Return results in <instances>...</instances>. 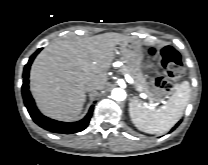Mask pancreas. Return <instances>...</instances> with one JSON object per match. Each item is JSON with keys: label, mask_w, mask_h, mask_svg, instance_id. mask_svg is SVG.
Instances as JSON below:
<instances>
[{"label": "pancreas", "mask_w": 208, "mask_h": 165, "mask_svg": "<svg viewBox=\"0 0 208 165\" xmlns=\"http://www.w3.org/2000/svg\"><path fill=\"white\" fill-rule=\"evenodd\" d=\"M123 69L134 78L136 87L139 91L146 93L150 99H155L152 93L149 91L146 80L141 73H137V70L126 62H124Z\"/></svg>", "instance_id": "1"}]
</instances>
